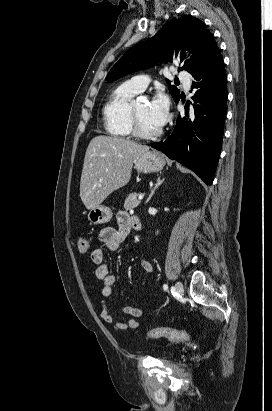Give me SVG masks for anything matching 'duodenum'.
Segmentation results:
<instances>
[{
	"label": "duodenum",
	"instance_id": "obj_1",
	"mask_svg": "<svg viewBox=\"0 0 272 411\" xmlns=\"http://www.w3.org/2000/svg\"><path fill=\"white\" fill-rule=\"evenodd\" d=\"M132 221H133L134 226H135V228H136L137 230H141V229H142L141 224H140V222L138 221V219L133 218Z\"/></svg>",
	"mask_w": 272,
	"mask_h": 411
}]
</instances>
